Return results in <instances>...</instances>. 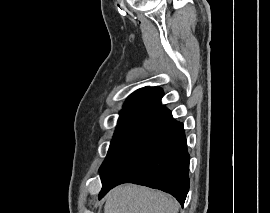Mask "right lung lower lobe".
<instances>
[{
	"mask_svg": "<svg viewBox=\"0 0 270 213\" xmlns=\"http://www.w3.org/2000/svg\"><path fill=\"white\" fill-rule=\"evenodd\" d=\"M189 161L183 124L165 106H158L101 171L99 199L119 184L135 183L170 193L183 205Z\"/></svg>",
	"mask_w": 270,
	"mask_h": 213,
	"instance_id": "right-lung-lower-lobe-1",
	"label": "right lung lower lobe"
}]
</instances>
